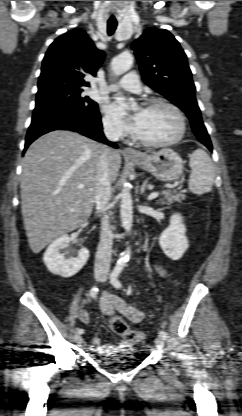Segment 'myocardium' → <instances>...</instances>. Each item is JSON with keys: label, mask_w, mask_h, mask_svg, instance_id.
<instances>
[{"label": "myocardium", "mask_w": 242, "mask_h": 416, "mask_svg": "<svg viewBox=\"0 0 242 416\" xmlns=\"http://www.w3.org/2000/svg\"><path fill=\"white\" fill-rule=\"evenodd\" d=\"M157 106H163L166 107L168 109H170L177 117L178 122H179V128L177 133L170 139L164 140V141H148L140 136H138L136 133L133 134V139L140 143L141 145L145 146V147H149V148H160V147H165V146H169L172 144L177 143L179 140L182 139V137L185 134L186 131V120H185V116L183 114V112L180 110V108L178 106H176L175 104H173L170 101H167L165 99H152L150 101H148L144 108L146 109H150V108H154Z\"/></svg>", "instance_id": "f54148a6"}]
</instances>
